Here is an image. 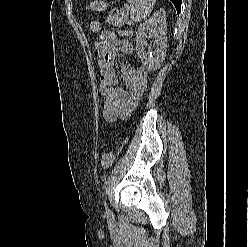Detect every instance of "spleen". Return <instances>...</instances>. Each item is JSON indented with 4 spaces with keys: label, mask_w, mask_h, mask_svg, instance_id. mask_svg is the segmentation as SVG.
<instances>
[{
    "label": "spleen",
    "mask_w": 248,
    "mask_h": 247,
    "mask_svg": "<svg viewBox=\"0 0 248 247\" xmlns=\"http://www.w3.org/2000/svg\"><path fill=\"white\" fill-rule=\"evenodd\" d=\"M132 8L130 12L131 19L140 22L146 19L152 12L156 0H127Z\"/></svg>",
    "instance_id": "1"
}]
</instances>
